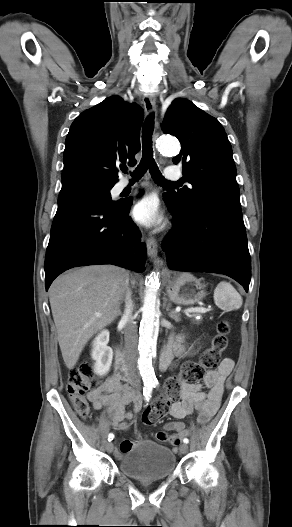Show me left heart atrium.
Masks as SVG:
<instances>
[{
	"mask_svg": "<svg viewBox=\"0 0 292 527\" xmlns=\"http://www.w3.org/2000/svg\"><path fill=\"white\" fill-rule=\"evenodd\" d=\"M133 217L140 224L151 227L160 220L157 203L152 197H145L133 207Z\"/></svg>",
	"mask_w": 292,
	"mask_h": 527,
	"instance_id": "39dd6f15",
	"label": "left heart atrium"
}]
</instances>
